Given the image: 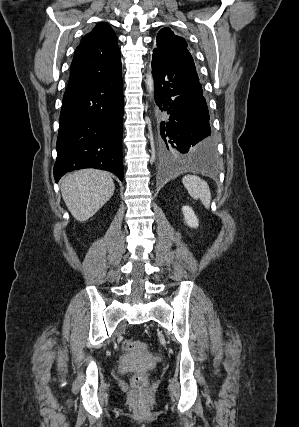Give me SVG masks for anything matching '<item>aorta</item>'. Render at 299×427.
<instances>
[{
  "instance_id": "aorta-1",
  "label": "aorta",
  "mask_w": 299,
  "mask_h": 427,
  "mask_svg": "<svg viewBox=\"0 0 299 427\" xmlns=\"http://www.w3.org/2000/svg\"><path fill=\"white\" fill-rule=\"evenodd\" d=\"M146 84H147V89L151 94L154 90V81L150 72L147 74Z\"/></svg>"
}]
</instances>
